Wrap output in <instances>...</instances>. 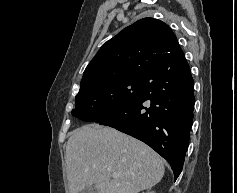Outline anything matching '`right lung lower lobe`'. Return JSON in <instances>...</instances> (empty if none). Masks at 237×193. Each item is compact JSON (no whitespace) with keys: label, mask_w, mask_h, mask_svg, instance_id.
<instances>
[{"label":"right lung lower lobe","mask_w":237,"mask_h":193,"mask_svg":"<svg viewBox=\"0 0 237 193\" xmlns=\"http://www.w3.org/2000/svg\"><path fill=\"white\" fill-rule=\"evenodd\" d=\"M193 109L194 81L180 50L144 76L139 94L130 103L95 122L149 145L170 163L176 180L188 147Z\"/></svg>","instance_id":"obj_1"}]
</instances>
